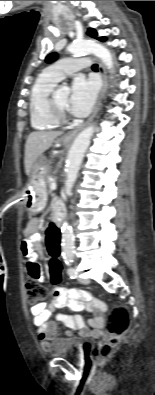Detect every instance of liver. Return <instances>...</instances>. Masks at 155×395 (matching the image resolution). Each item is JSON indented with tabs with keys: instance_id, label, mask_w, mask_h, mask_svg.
<instances>
[{
	"instance_id": "1",
	"label": "liver",
	"mask_w": 155,
	"mask_h": 395,
	"mask_svg": "<svg viewBox=\"0 0 155 395\" xmlns=\"http://www.w3.org/2000/svg\"><path fill=\"white\" fill-rule=\"evenodd\" d=\"M62 134L63 132L61 131H37L29 134L25 144L24 165L26 175L30 176L36 160L48 150L52 146L54 140Z\"/></svg>"
}]
</instances>
